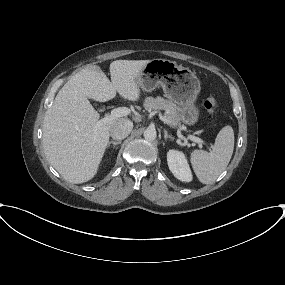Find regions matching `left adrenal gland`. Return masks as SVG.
Wrapping results in <instances>:
<instances>
[{
	"instance_id": "a2214340",
	"label": "left adrenal gland",
	"mask_w": 285,
	"mask_h": 285,
	"mask_svg": "<svg viewBox=\"0 0 285 285\" xmlns=\"http://www.w3.org/2000/svg\"><path fill=\"white\" fill-rule=\"evenodd\" d=\"M164 139L167 140V139H170V140H174V138L168 134V132L166 130H164Z\"/></svg>"
}]
</instances>
